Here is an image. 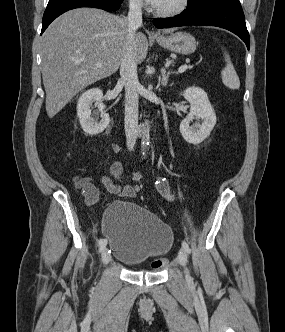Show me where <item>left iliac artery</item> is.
I'll return each instance as SVG.
<instances>
[{"label": "left iliac artery", "instance_id": "left-iliac-artery-1", "mask_svg": "<svg viewBox=\"0 0 285 332\" xmlns=\"http://www.w3.org/2000/svg\"><path fill=\"white\" fill-rule=\"evenodd\" d=\"M182 247L186 253L189 254L191 252V249L186 241H182Z\"/></svg>", "mask_w": 285, "mask_h": 332}]
</instances>
